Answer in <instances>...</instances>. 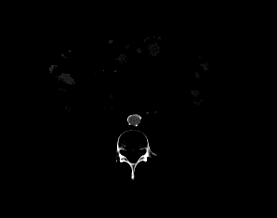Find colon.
Here are the masks:
<instances>
[{"mask_svg": "<svg viewBox=\"0 0 277 218\" xmlns=\"http://www.w3.org/2000/svg\"><path fill=\"white\" fill-rule=\"evenodd\" d=\"M216 90L218 94L221 96H225L227 94V87L221 83H216L215 85ZM41 94L43 96V105L44 108L47 110H54L57 101L58 96L56 94V91L52 87H45L41 90Z\"/></svg>", "mask_w": 277, "mask_h": 218, "instance_id": "1", "label": "colon"}]
</instances>
